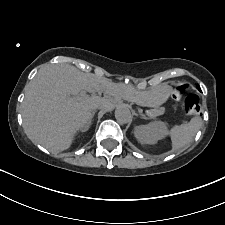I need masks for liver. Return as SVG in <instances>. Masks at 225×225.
<instances>
[{"instance_id": "6515ba94", "label": "liver", "mask_w": 225, "mask_h": 225, "mask_svg": "<svg viewBox=\"0 0 225 225\" xmlns=\"http://www.w3.org/2000/svg\"><path fill=\"white\" fill-rule=\"evenodd\" d=\"M98 90L106 96H77L82 91ZM144 96L145 93L81 72L70 64L47 65L25 87L24 131L32 142L59 153L72 145L74 135L87 124L95 105L110 108L113 101L124 99L145 106Z\"/></svg>"}]
</instances>
